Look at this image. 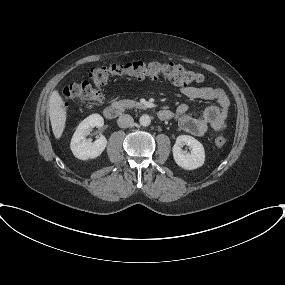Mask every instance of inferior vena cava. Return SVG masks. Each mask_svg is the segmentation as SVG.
<instances>
[{
  "instance_id": "1",
  "label": "inferior vena cava",
  "mask_w": 285,
  "mask_h": 285,
  "mask_svg": "<svg viewBox=\"0 0 285 285\" xmlns=\"http://www.w3.org/2000/svg\"><path fill=\"white\" fill-rule=\"evenodd\" d=\"M134 123V119L129 114H122L119 116L117 120V124L121 128H127L132 126Z\"/></svg>"
}]
</instances>
